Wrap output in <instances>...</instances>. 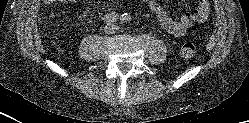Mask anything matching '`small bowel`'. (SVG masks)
Instances as JSON below:
<instances>
[{
  "label": "small bowel",
  "instance_id": "obj_1",
  "mask_svg": "<svg viewBox=\"0 0 249 123\" xmlns=\"http://www.w3.org/2000/svg\"><path fill=\"white\" fill-rule=\"evenodd\" d=\"M49 2L71 3L78 0H48ZM150 11L158 18L161 27L168 33L182 37L194 25L204 22L210 13V0H200L197 7L192 11L183 13L180 17L175 18L168 9L163 7L156 0H144Z\"/></svg>",
  "mask_w": 249,
  "mask_h": 123
}]
</instances>
